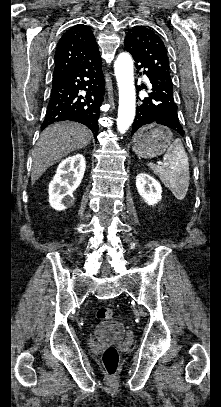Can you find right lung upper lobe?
Wrapping results in <instances>:
<instances>
[{
  "instance_id": "right-lung-upper-lobe-1",
  "label": "right lung upper lobe",
  "mask_w": 221,
  "mask_h": 407,
  "mask_svg": "<svg viewBox=\"0 0 221 407\" xmlns=\"http://www.w3.org/2000/svg\"><path fill=\"white\" fill-rule=\"evenodd\" d=\"M98 51L91 29L83 24L71 27L59 40L53 76L90 59Z\"/></svg>"
}]
</instances>
